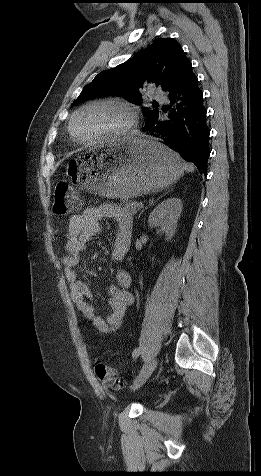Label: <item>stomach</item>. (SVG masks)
<instances>
[{
  "instance_id": "stomach-1",
  "label": "stomach",
  "mask_w": 261,
  "mask_h": 476,
  "mask_svg": "<svg viewBox=\"0 0 261 476\" xmlns=\"http://www.w3.org/2000/svg\"><path fill=\"white\" fill-rule=\"evenodd\" d=\"M67 170L73 183L91 192L130 199L170 186L184 167L178 154L157 140L128 135L74 156Z\"/></svg>"
}]
</instances>
